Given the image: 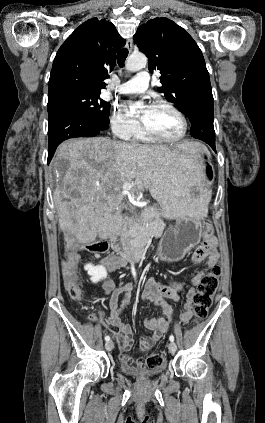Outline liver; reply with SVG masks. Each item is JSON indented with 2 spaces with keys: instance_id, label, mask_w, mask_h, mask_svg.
<instances>
[{
  "instance_id": "1",
  "label": "liver",
  "mask_w": 265,
  "mask_h": 423,
  "mask_svg": "<svg viewBox=\"0 0 265 423\" xmlns=\"http://www.w3.org/2000/svg\"><path fill=\"white\" fill-rule=\"evenodd\" d=\"M191 147L128 145L105 137L63 142L53 162L61 181L53 199L65 241L88 244L97 236L106 239L116 233L124 222L118 207L126 183L133 184L132 193L149 190L168 219L199 216L189 188L202 174L182 153ZM148 213L154 214V209Z\"/></svg>"
}]
</instances>
